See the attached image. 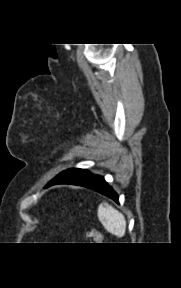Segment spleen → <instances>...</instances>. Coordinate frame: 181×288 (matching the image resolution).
<instances>
[{
  "mask_svg": "<svg viewBox=\"0 0 181 288\" xmlns=\"http://www.w3.org/2000/svg\"><path fill=\"white\" fill-rule=\"evenodd\" d=\"M98 218L104 228L117 237H123L126 231L124 215L108 203H101L98 207Z\"/></svg>",
  "mask_w": 181,
  "mask_h": 288,
  "instance_id": "spleen-1",
  "label": "spleen"
}]
</instances>
